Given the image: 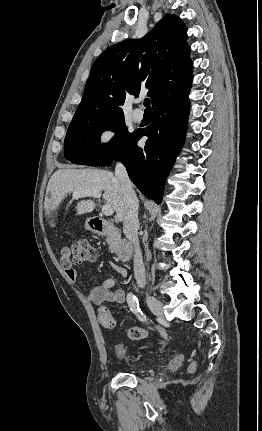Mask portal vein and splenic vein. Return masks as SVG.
Wrapping results in <instances>:
<instances>
[{
	"label": "portal vein and splenic vein",
	"mask_w": 262,
	"mask_h": 431,
	"mask_svg": "<svg viewBox=\"0 0 262 431\" xmlns=\"http://www.w3.org/2000/svg\"><path fill=\"white\" fill-rule=\"evenodd\" d=\"M72 196L73 198H82V197H88V196L100 198L101 192L98 190L79 191V192H73ZM113 212H114L113 208L109 205H104L102 207V213L106 216H111Z\"/></svg>",
	"instance_id": "obj_1"
}]
</instances>
